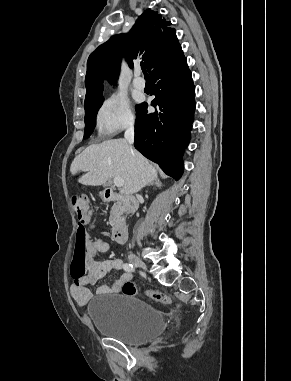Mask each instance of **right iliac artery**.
Listing matches in <instances>:
<instances>
[{
    "instance_id": "1",
    "label": "right iliac artery",
    "mask_w": 291,
    "mask_h": 381,
    "mask_svg": "<svg viewBox=\"0 0 291 381\" xmlns=\"http://www.w3.org/2000/svg\"><path fill=\"white\" fill-rule=\"evenodd\" d=\"M123 269L125 271H128V272H134L135 271V268H134L133 264H131V263H124Z\"/></svg>"
}]
</instances>
